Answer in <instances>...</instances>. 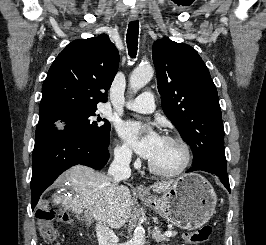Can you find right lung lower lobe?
<instances>
[{
  "label": "right lung lower lobe",
  "mask_w": 266,
  "mask_h": 245,
  "mask_svg": "<svg viewBox=\"0 0 266 245\" xmlns=\"http://www.w3.org/2000/svg\"><path fill=\"white\" fill-rule=\"evenodd\" d=\"M31 201L35 208L40 195L69 167L82 164L101 169L109 159L103 147L67 131L35 139L32 155Z\"/></svg>",
  "instance_id": "obj_1"
}]
</instances>
